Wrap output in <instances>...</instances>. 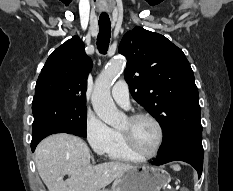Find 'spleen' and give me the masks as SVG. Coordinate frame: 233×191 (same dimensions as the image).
<instances>
[{
  "mask_svg": "<svg viewBox=\"0 0 233 191\" xmlns=\"http://www.w3.org/2000/svg\"><path fill=\"white\" fill-rule=\"evenodd\" d=\"M171 168H173L174 171H179L181 169V167L178 164L172 165Z\"/></svg>",
  "mask_w": 233,
  "mask_h": 191,
  "instance_id": "3e777b00",
  "label": "spleen"
}]
</instances>
